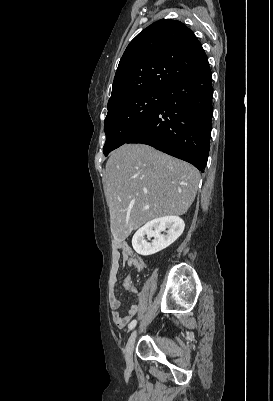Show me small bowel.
Masks as SVG:
<instances>
[{"label": "small bowel", "mask_w": 273, "mask_h": 401, "mask_svg": "<svg viewBox=\"0 0 273 401\" xmlns=\"http://www.w3.org/2000/svg\"><path fill=\"white\" fill-rule=\"evenodd\" d=\"M128 264L136 268H143L144 263L134 256L132 248L127 243H117L112 250V263L109 275V288L111 292L110 306L112 310V320L114 325L119 329H124L128 326L131 319H133L140 311L142 305L145 303L150 304L153 301L150 290H137L135 291V280L130 276H126L122 280L123 287H130L131 294H134L136 300L127 309L125 314L120 313L122 302L117 296L118 273L120 264Z\"/></svg>", "instance_id": "obj_1"}]
</instances>
